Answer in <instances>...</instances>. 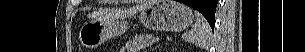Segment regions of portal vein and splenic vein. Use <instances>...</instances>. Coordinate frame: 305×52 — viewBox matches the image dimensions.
<instances>
[{"instance_id": "obj_1", "label": "portal vein and splenic vein", "mask_w": 305, "mask_h": 52, "mask_svg": "<svg viewBox=\"0 0 305 52\" xmlns=\"http://www.w3.org/2000/svg\"><path fill=\"white\" fill-rule=\"evenodd\" d=\"M158 40H159L158 38L152 39L153 42H156V41H158Z\"/></svg>"}]
</instances>
